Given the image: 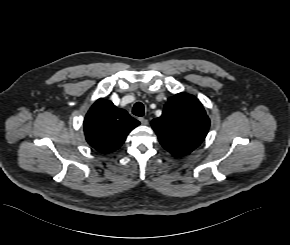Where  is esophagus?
Listing matches in <instances>:
<instances>
[{
	"mask_svg": "<svg viewBox=\"0 0 290 245\" xmlns=\"http://www.w3.org/2000/svg\"><path fill=\"white\" fill-rule=\"evenodd\" d=\"M139 121L141 122L142 125H147L148 124V120L143 118V117H140Z\"/></svg>",
	"mask_w": 290,
	"mask_h": 245,
	"instance_id": "1",
	"label": "esophagus"
}]
</instances>
